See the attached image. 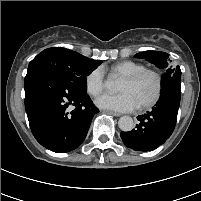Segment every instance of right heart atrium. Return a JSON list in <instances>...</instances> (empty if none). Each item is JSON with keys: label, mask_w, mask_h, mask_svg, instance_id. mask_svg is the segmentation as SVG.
<instances>
[{"label": "right heart atrium", "mask_w": 201, "mask_h": 201, "mask_svg": "<svg viewBox=\"0 0 201 201\" xmlns=\"http://www.w3.org/2000/svg\"><path fill=\"white\" fill-rule=\"evenodd\" d=\"M105 73L101 67L94 68L85 77V88L89 95L96 97L104 89Z\"/></svg>", "instance_id": "1"}]
</instances>
